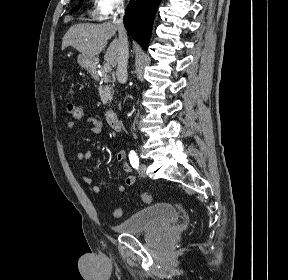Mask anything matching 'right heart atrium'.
Listing matches in <instances>:
<instances>
[{"mask_svg": "<svg viewBox=\"0 0 288 280\" xmlns=\"http://www.w3.org/2000/svg\"><path fill=\"white\" fill-rule=\"evenodd\" d=\"M124 6L125 0H94L92 14L97 20L103 21L123 10Z\"/></svg>", "mask_w": 288, "mask_h": 280, "instance_id": "1", "label": "right heart atrium"}]
</instances>
